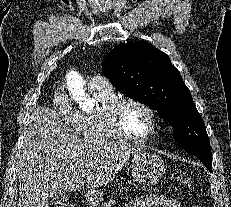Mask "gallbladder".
Masks as SVG:
<instances>
[{
    "label": "gallbladder",
    "mask_w": 231,
    "mask_h": 207,
    "mask_svg": "<svg viewBox=\"0 0 231 207\" xmlns=\"http://www.w3.org/2000/svg\"><path fill=\"white\" fill-rule=\"evenodd\" d=\"M70 195L62 190H58L52 198L49 199V203L54 206L62 205L65 201L69 199Z\"/></svg>",
    "instance_id": "bac80fb5"
}]
</instances>
